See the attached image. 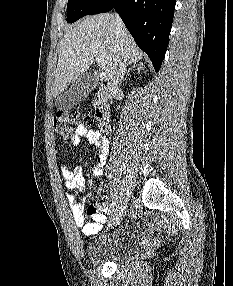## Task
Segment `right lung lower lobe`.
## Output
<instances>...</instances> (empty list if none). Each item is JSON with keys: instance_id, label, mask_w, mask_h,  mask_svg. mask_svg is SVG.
Returning a JSON list of instances; mask_svg holds the SVG:
<instances>
[{"instance_id": "98d812e1", "label": "right lung lower lobe", "mask_w": 233, "mask_h": 286, "mask_svg": "<svg viewBox=\"0 0 233 286\" xmlns=\"http://www.w3.org/2000/svg\"><path fill=\"white\" fill-rule=\"evenodd\" d=\"M176 0H100L88 14L113 8L120 15L137 45L159 71L169 41Z\"/></svg>"}]
</instances>
